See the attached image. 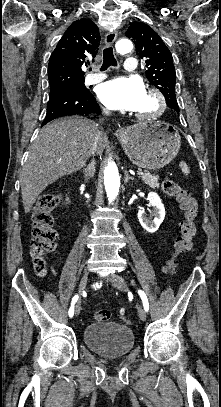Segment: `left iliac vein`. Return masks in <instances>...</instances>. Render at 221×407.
Here are the masks:
<instances>
[{"mask_svg": "<svg viewBox=\"0 0 221 407\" xmlns=\"http://www.w3.org/2000/svg\"><path fill=\"white\" fill-rule=\"evenodd\" d=\"M108 281L114 286L116 287L118 290L120 291H124V292H128L129 288L124 280V278L118 274H111L107 277ZM137 310H138V315L139 318L142 321H146L147 316H146V312L143 309V307L139 304H137Z\"/></svg>", "mask_w": 221, "mask_h": 407, "instance_id": "left-iliac-vein-1", "label": "left iliac vein"}]
</instances>
